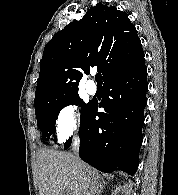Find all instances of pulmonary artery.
<instances>
[{"instance_id":"pulmonary-artery-1","label":"pulmonary artery","mask_w":178,"mask_h":195,"mask_svg":"<svg viewBox=\"0 0 178 195\" xmlns=\"http://www.w3.org/2000/svg\"><path fill=\"white\" fill-rule=\"evenodd\" d=\"M86 91L90 95H93V94L96 93L97 86H96L95 82L92 79L87 81V83H86Z\"/></svg>"}]
</instances>
